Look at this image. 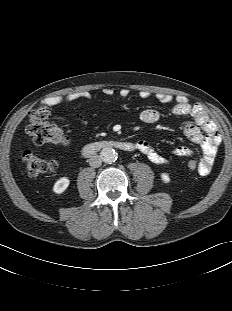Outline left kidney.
<instances>
[{
  "mask_svg": "<svg viewBox=\"0 0 232 311\" xmlns=\"http://www.w3.org/2000/svg\"><path fill=\"white\" fill-rule=\"evenodd\" d=\"M161 178H162L163 182H165V183H168L170 181V177L167 173H162Z\"/></svg>",
  "mask_w": 232,
  "mask_h": 311,
  "instance_id": "5707ae66",
  "label": "left kidney"
}]
</instances>
